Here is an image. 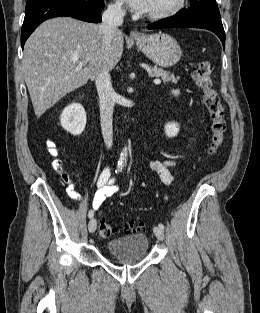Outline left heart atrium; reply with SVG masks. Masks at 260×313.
Here are the masks:
<instances>
[{"label":"left heart atrium","mask_w":260,"mask_h":313,"mask_svg":"<svg viewBox=\"0 0 260 313\" xmlns=\"http://www.w3.org/2000/svg\"><path fill=\"white\" fill-rule=\"evenodd\" d=\"M124 1L132 10L146 12L149 7L150 0H122Z\"/></svg>","instance_id":"obj_1"}]
</instances>
